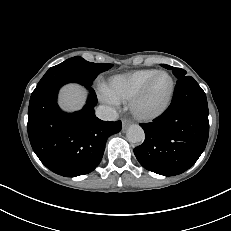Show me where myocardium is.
Returning <instances> with one entry per match:
<instances>
[{
    "instance_id": "obj_1",
    "label": "myocardium",
    "mask_w": 231,
    "mask_h": 231,
    "mask_svg": "<svg viewBox=\"0 0 231 231\" xmlns=\"http://www.w3.org/2000/svg\"><path fill=\"white\" fill-rule=\"evenodd\" d=\"M160 75L168 77L170 86L165 99L157 107L146 110L142 108V103L148 96L156 78ZM175 94V81L173 77L166 71H156V73L147 81V83L134 94L129 101V108L132 115L142 121H152L162 116L170 107Z\"/></svg>"
}]
</instances>
